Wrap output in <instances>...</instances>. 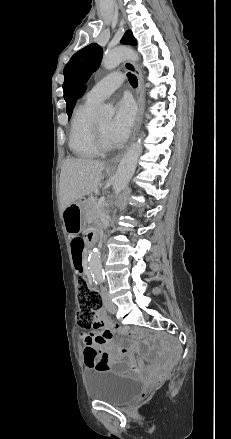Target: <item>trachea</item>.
<instances>
[{
	"mask_svg": "<svg viewBox=\"0 0 231 439\" xmlns=\"http://www.w3.org/2000/svg\"><path fill=\"white\" fill-rule=\"evenodd\" d=\"M129 83L132 85V87L138 86V80L137 77L134 74L127 73Z\"/></svg>",
	"mask_w": 231,
	"mask_h": 439,
	"instance_id": "1",
	"label": "trachea"
}]
</instances>
